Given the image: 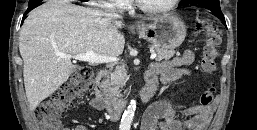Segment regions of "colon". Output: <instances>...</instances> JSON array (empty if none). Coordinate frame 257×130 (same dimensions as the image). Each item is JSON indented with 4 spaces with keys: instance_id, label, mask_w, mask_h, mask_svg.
I'll return each mask as SVG.
<instances>
[{
    "instance_id": "5ec220e1",
    "label": "colon",
    "mask_w": 257,
    "mask_h": 130,
    "mask_svg": "<svg viewBox=\"0 0 257 130\" xmlns=\"http://www.w3.org/2000/svg\"><path fill=\"white\" fill-rule=\"evenodd\" d=\"M208 36L201 57V69L206 74L216 70V48L221 42L220 31L212 24H204ZM94 87V73L89 68L80 69L64 83L49 100L39 105L34 111V117L42 130H70L63 128L61 119L67 110L82 96ZM215 94V85L210 84L200 96L202 107L211 106Z\"/></svg>"
}]
</instances>
